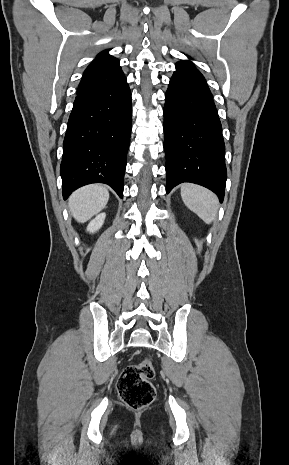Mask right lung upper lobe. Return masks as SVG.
I'll use <instances>...</instances> for the list:
<instances>
[{"mask_svg":"<svg viewBox=\"0 0 289 465\" xmlns=\"http://www.w3.org/2000/svg\"><path fill=\"white\" fill-rule=\"evenodd\" d=\"M124 76L117 58L100 52L86 68L77 93L104 88L116 83Z\"/></svg>","mask_w":289,"mask_h":465,"instance_id":"right-lung-upper-lobe-1","label":"right lung upper lobe"}]
</instances>
